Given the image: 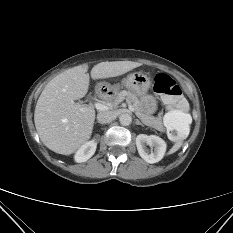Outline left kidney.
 <instances>
[{
	"label": "left kidney",
	"mask_w": 233,
	"mask_h": 233,
	"mask_svg": "<svg viewBox=\"0 0 233 233\" xmlns=\"http://www.w3.org/2000/svg\"><path fill=\"white\" fill-rule=\"evenodd\" d=\"M146 145H149L151 147L150 152L146 149ZM136 146L141 158L148 163L159 162L164 157L166 152L165 141L156 135H138L136 137Z\"/></svg>",
	"instance_id": "obj_1"
}]
</instances>
